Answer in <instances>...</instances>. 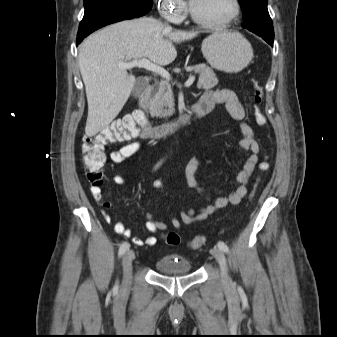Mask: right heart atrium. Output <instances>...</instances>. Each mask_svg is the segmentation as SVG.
Here are the masks:
<instances>
[{
    "label": "right heart atrium",
    "mask_w": 337,
    "mask_h": 337,
    "mask_svg": "<svg viewBox=\"0 0 337 337\" xmlns=\"http://www.w3.org/2000/svg\"><path fill=\"white\" fill-rule=\"evenodd\" d=\"M156 3L161 14L173 23L180 22L187 10L183 0H156Z\"/></svg>",
    "instance_id": "right-heart-atrium-1"
}]
</instances>
